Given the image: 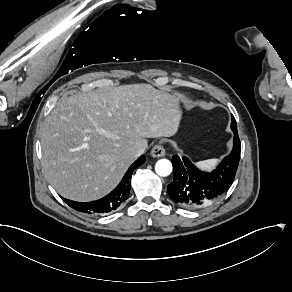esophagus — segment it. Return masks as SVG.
<instances>
[{"mask_svg": "<svg viewBox=\"0 0 292 292\" xmlns=\"http://www.w3.org/2000/svg\"><path fill=\"white\" fill-rule=\"evenodd\" d=\"M165 153L166 152H165V149H164L162 144H156L150 152L151 156L155 157V158L156 157H163L165 155Z\"/></svg>", "mask_w": 292, "mask_h": 292, "instance_id": "esophagus-1", "label": "esophagus"}]
</instances>
